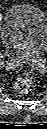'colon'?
I'll list each match as a JSON object with an SVG mask.
<instances>
[{
	"mask_svg": "<svg viewBox=\"0 0 47 129\" xmlns=\"http://www.w3.org/2000/svg\"><path fill=\"white\" fill-rule=\"evenodd\" d=\"M32 85V77L28 73H23L16 78L14 87L19 93H26Z\"/></svg>",
	"mask_w": 47,
	"mask_h": 129,
	"instance_id": "colon-1",
	"label": "colon"
}]
</instances>
